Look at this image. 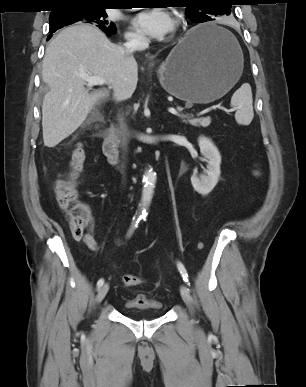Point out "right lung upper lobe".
<instances>
[{"label":"right lung upper lobe","instance_id":"right-lung-upper-lobe-1","mask_svg":"<svg viewBox=\"0 0 306 387\" xmlns=\"http://www.w3.org/2000/svg\"><path fill=\"white\" fill-rule=\"evenodd\" d=\"M57 9L53 10V12L59 11L60 8L71 7V6H108L110 4V0H55Z\"/></svg>","mask_w":306,"mask_h":387}]
</instances>
